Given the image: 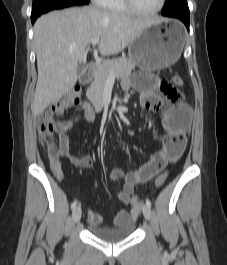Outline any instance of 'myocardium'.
<instances>
[{
	"instance_id": "1",
	"label": "myocardium",
	"mask_w": 227,
	"mask_h": 265,
	"mask_svg": "<svg viewBox=\"0 0 227 265\" xmlns=\"http://www.w3.org/2000/svg\"><path fill=\"white\" fill-rule=\"evenodd\" d=\"M124 2L132 13L142 16H152L159 13L164 8L166 0H160V4L158 5V7L151 11H142L138 9L134 0H124Z\"/></svg>"
}]
</instances>
